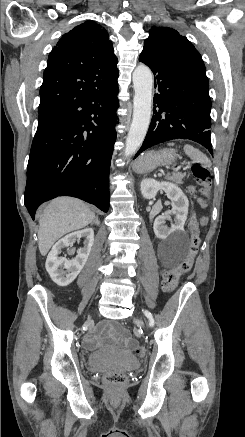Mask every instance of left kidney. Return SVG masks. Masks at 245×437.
I'll list each match as a JSON object with an SVG mask.
<instances>
[{
  "label": "left kidney",
  "mask_w": 245,
  "mask_h": 437,
  "mask_svg": "<svg viewBox=\"0 0 245 437\" xmlns=\"http://www.w3.org/2000/svg\"><path fill=\"white\" fill-rule=\"evenodd\" d=\"M141 193L146 199H153L159 190H163L171 200L172 216L174 223L169 228L165 222L171 217L168 214L158 216L153 225L156 237L165 240L170 235L181 236L184 232V224L187 220L189 201L183 191L175 184L169 182H158L151 178L141 181Z\"/></svg>",
  "instance_id": "5707ae66"
}]
</instances>
